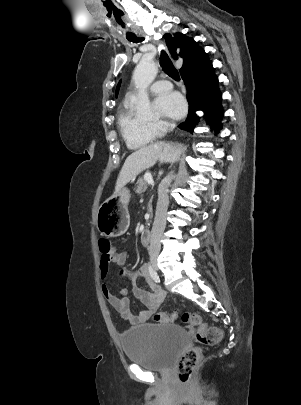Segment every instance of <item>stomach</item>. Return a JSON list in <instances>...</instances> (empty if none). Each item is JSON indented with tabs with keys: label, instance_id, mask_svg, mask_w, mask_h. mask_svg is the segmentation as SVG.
<instances>
[{
	"label": "stomach",
	"instance_id": "stomach-1",
	"mask_svg": "<svg viewBox=\"0 0 301 405\" xmlns=\"http://www.w3.org/2000/svg\"><path fill=\"white\" fill-rule=\"evenodd\" d=\"M130 197L128 188L123 187L99 207L96 225L102 235L118 237L127 231L130 224L128 212Z\"/></svg>",
	"mask_w": 301,
	"mask_h": 405
}]
</instances>
